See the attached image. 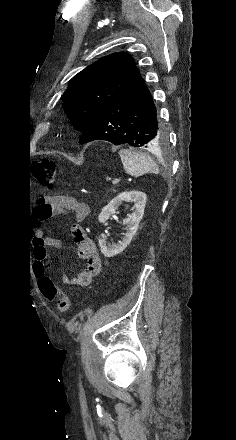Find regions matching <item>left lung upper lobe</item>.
Wrapping results in <instances>:
<instances>
[{
	"label": "left lung upper lobe",
	"mask_w": 236,
	"mask_h": 440,
	"mask_svg": "<svg viewBox=\"0 0 236 440\" xmlns=\"http://www.w3.org/2000/svg\"><path fill=\"white\" fill-rule=\"evenodd\" d=\"M141 75L124 52L100 58L75 75L62 95V106L77 131H84L102 110Z\"/></svg>",
	"instance_id": "1"
}]
</instances>
